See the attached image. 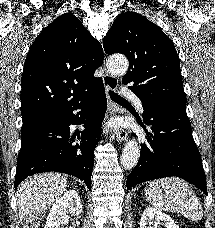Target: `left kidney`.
Here are the masks:
<instances>
[{"label":"left kidney","instance_id":"obj_1","mask_svg":"<svg viewBox=\"0 0 215 228\" xmlns=\"http://www.w3.org/2000/svg\"><path fill=\"white\" fill-rule=\"evenodd\" d=\"M159 226L179 228L167 214H163V212L156 210V208H146L141 216L140 228H159Z\"/></svg>","mask_w":215,"mask_h":228}]
</instances>
